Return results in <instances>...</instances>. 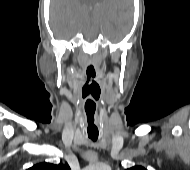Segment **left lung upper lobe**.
Wrapping results in <instances>:
<instances>
[{
	"mask_svg": "<svg viewBox=\"0 0 190 170\" xmlns=\"http://www.w3.org/2000/svg\"><path fill=\"white\" fill-rule=\"evenodd\" d=\"M126 170H146V169L142 166H134V167H131V168L126 169Z\"/></svg>",
	"mask_w": 190,
	"mask_h": 170,
	"instance_id": "obj_1",
	"label": "left lung upper lobe"
}]
</instances>
